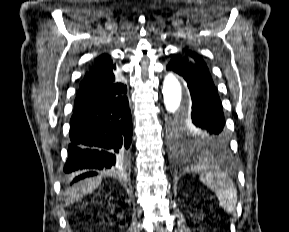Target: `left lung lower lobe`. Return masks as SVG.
Listing matches in <instances>:
<instances>
[{
  "mask_svg": "<svg viewBox=\"0 0 289 232\" xmlns=\"http://www.w3.org/2000/svg\"><path fill=\"white\" fill-rule=\"evenodd\" d=\"M166 69L181 76L188 86L192 99L188 115L191 125L210 141L214 151H226L229 138L222 104L208 69L182 57H173Z\"/></svg>",
  "mask_w": 289,
  "mask_h": 232,
  "instance_id": "0a47b994",
  "label": "left lung lower lobe"
}]
</instances>
